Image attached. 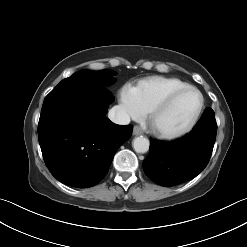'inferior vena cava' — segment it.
<instances>
[{
	"label": "inferior vena cava",
	"mask_w": 247,
	"mask_h": 247,
	"mask_svg": "<svg viewBox=\"0 0 247 247\" xmlns=\"http://www.w3.org/2000/svg\"><path fill=\"white\" fill-rule=\"evenodd\" d=\"M108 118L116 123V124H120V125H126L130 123V116L127 113V111L119 106L116 105L114 106L112 109H110L109 113H108Z\"/></svg>",
	"instance_id": "inferior-vena-cava-1"
}]
</instances>
